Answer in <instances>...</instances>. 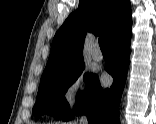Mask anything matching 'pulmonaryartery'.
I'll use <instances>...</instances> for the list:
<instances>
[{"instance_id":"pulmonary-artery-1","label":"pulmonary artery","mask_w":156,"mask_h":124,"mask_svg":"<svg viewBox=\"0 0 156 124\" xmlns=\"http://www.w3.org/2000/svg\"><path fill=\"white\" fill-rule=\"evenodd\" d=\"M92 57L95 61H101L103 58L102 52L98 48H94L92 51Z\"/></svg>"}]
</instances>
